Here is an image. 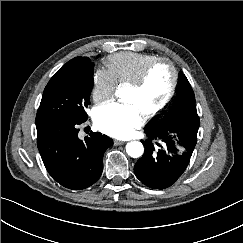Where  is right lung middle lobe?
Returning a JSON list of instances; mask_svg holds the SVG:
<instances>
[{
	"instance_id": "right-lung-middle-lobe-1",
	"label": "right lung middle lobe",
	"mask_w": 243,
	"mask_h": 243,
	"mask_svg": "<svg viewBox=\"0 0 243 243\" xmlns=\"http://www.w3.org/2000/svg\"><path fill=\"white\" fill-rule=\"evenodd\" d=\"M94 64L87 57L72 59L63 65L44 89L38 117L87 120Z\"/></svg>"
}]
</instances>
